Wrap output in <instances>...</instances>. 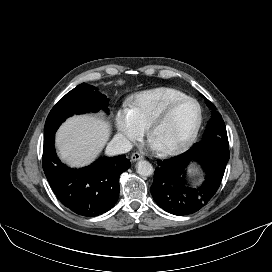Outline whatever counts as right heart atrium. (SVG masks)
Returning <instances> with one entry per match:
<instances>
[{"instance_id": "1", "label": "right heart atrium", "mask_w": 272, "mask_h": 272, "mask_svg": "<svg viewBox=\"0 0 272 272\" xmlns=\"http://www.w3.org/2000/svg\"><path fill=\"white\" fill-rule=\"evenodd\" d=\"M116 125L120 137L126 142L139 140L145 132V128L137 122L129 109L118 112Z\"/></svg>"}]
</instances>
